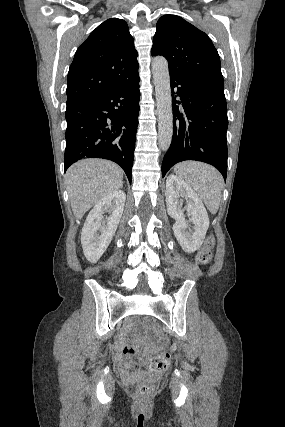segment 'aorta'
I'll return each instance as SVG.
<instances>
[{"label":"aorta","mask_w":285,"mask_h":427,"mask_svg":"<svg viewBox=\"0 0 285 427\" xmlns=\"http://www.w3.org/2000/svg\"><path fill=\"white\" fill-rule=\"evenodd\" d=\"M152 73L157 102L158 142L160 149L167 151L173 135V114L168 62L164 57L153 59Z\"/></svg>","instance_id":"obj_1"}]
</instances>
